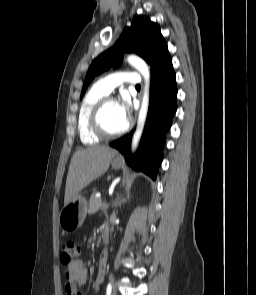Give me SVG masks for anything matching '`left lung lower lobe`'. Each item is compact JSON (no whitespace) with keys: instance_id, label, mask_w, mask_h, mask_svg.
Listing matches in <instances>:
<instances>
[{"instance_id":"1","label":"left lung lower lobe","mask_w":256,"mask_h":295,"mask_svg":"<svg viewBox=\"0 0 256 295\" xmlns=\"http://www.w3.org/2000/svg\"><path fill=\"white\" fill-rule=\"evenodd\" d=\"M176 76L172 64L151 74L150 104L139 150L130 154L132 132L110 143L125 155L126 162L135 170L156 178L163 155L165 134L171 127L177 109Z\"/></svg>"}]
</instances>
